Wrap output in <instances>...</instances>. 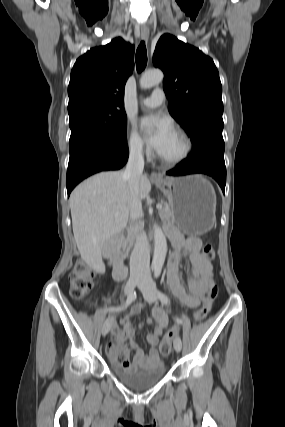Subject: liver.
<instances>
[{
	"mask_svg": "<svg viewBox=\"0 0 285 427\" xmlns=\"http://www.w3.org/2000/svg\"><path fill=\"white\" fill-rule=\"evenodd\" d=\"M123 171L102 172L78 185L70 196L73 234L81 258L92 268H102L106 243L127 225L132 195ZM169 179V178H168ZM151 190L146 175L139 179L138 197Z\"/></svg>",
	"mask_w": 285,
	"mask_h": 427,
	"instance_id": "obj_1",
	"label": "liver"
}]
</instances>
